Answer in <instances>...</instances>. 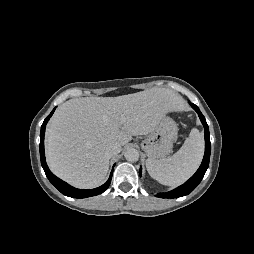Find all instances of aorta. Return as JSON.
Wrapping results in <instances>:
<instances>
[{"label":"aorta","mask_w":254,"mask_h":254,"mask_svg":"<svg viewBox=\"0 0 254 254\" xmlns=\"http://www.w3.org/2000/svg\"><path fill=\"white\" fill-rule=\"evenodd\" d=\"M124 157L129 162H136L139 159V152L134 148H130L125 152Z\"/></svg>","instance_id":"aorta-1"}]
</instances>
